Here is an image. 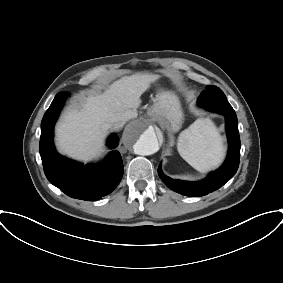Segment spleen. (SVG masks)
Listing matches in <instances>:
<instances>
[{"label": "spleen", "instance_id": "obj_1", "mask_svg": "<svg viewBox=\"0 0 283 283\" xmlns=\"http://www.w3.org/2000/svg\"><path fill=\"white\" fill-rule=\"evenodd\" d=\"M177 148L180 156L200 172L218 166L224 157L222 138L208 118H200L182 131Z\"/></svg>", "mask_w": 283, "mask_h": 283}]
</instances>
